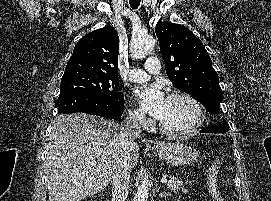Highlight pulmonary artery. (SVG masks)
I'll return each instance as SVG.
<instances>
[{
	"label": "pulmonary artery",
	"mask_w": 271,
	"mask_h": 201,
	"mask_svg": "<svg viewBox=\"0 0 271 201\" xmlns=\"http://www.w3.org/2000/svg\"><path fill=\"white\" fill-rule=\"evenodd\" d=\"M160 62L156 57H149L145 63V69H133L129 73V80L132 82H142L150 78L151 75L159 74Z\"/></svg>",
	"instance_id": "e3ab8cb5"
}]
</instances>
